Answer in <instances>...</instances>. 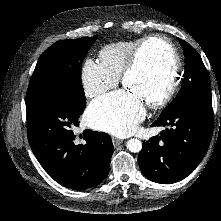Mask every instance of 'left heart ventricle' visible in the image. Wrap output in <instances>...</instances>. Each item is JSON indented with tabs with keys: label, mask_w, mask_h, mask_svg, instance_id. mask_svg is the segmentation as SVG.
Returning a JSON list of instances; mask_svg holds the SVG:
<instances>
[{
	"label": "left heart ventricle",
	"mask_w": 221,
	"mask_h": 221,
	"mask_svg": "<svg viewBox=\"0 0 221 221\" xmlns=\"http://www.w3.org/2000/svg\"><path fill=\"white\" fill-rule=\"evenodd\" d=\"M172 69L168 46L161 41L151 42L141 51L136 68L126 79L125 88L144 104L152 102L165 90Z\"/></svg>",
	"instance_id": "b2bd125f"
}]
</instances>
